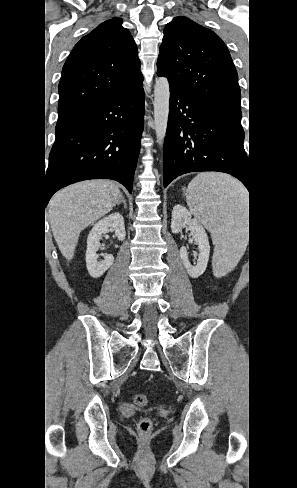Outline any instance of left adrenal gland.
<instances>
[{
    "mask_svg": "<svg viewBox=\"0 0 297 488\" xmlns=\"http://www.w3.org/2000/svg\"><path fill=\"white\" fill-rule=\"evenodd\" d=\"M183 191H184V194H185V193H186V192H185V189H183Z\"/></svg>",
    "mask_w": 297,
    "mask_h": 488,
    "instance_id": "left-adrenal-gland-1",
    "label": "left adrenal gland"
}]
</instances>
